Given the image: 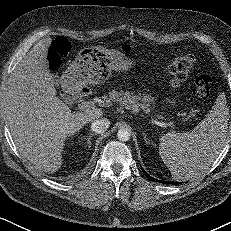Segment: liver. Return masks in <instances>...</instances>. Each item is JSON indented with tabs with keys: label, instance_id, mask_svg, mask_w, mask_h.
I'll list each match as a JSON object with an SVG mask.
<instances>
[{
	"label": "liver",
	"instance_id": "liver-1",
	"mask_svg": "<svg viewBox=\"0 0 231 231\" xmlns=\"http://www.w3.org/2000/svg\"><path fill=\"white\" fill-rule=\"evenodd\" d=\"M51 38L40 40L13 70L6 93V116L19 152L46 173L62 165L66 139L103 116L102 109L71 112L56 96L47 61Z\"/></svg>",
	"mask_w": 231,
	"mask_h": 231
}]
</instances>
